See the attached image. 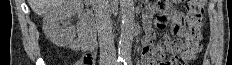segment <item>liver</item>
I'll list each match as a JSON object with an SVG mask.
<instances>
[{
    "instance_id": "6515ba94",
    "label": "liver",
    "mask_w": 232,
    "mask_h": 65,
    "mask_svg": "<svg viewBox=\"0 0 232 65\" xmlns=\"http://www.w3.org/2000/svg\"><path fill=\"white\" fill-rule=\"evenodd\" d=\"M65 0H28V3L37 15H46L52 8L62 4Z\"/></svg>"
}]
</instances>
